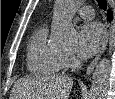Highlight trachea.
I'll return each mask as SVG.
<instances>
[{
    "instance_id": "obj_1",
    "label": "trachea",
    "mask_w": 115,
    "mask_h": 99,
    "mask_svg": "<svg viewBox=\"0 0 115 99\" xmlns=\"http://www.w3.org/2000/svg\"><path fill=\"white\" fill-rule=\"evenodd\" d=\"M98 5L101 9L106 10L107 8V1L106 0H97Z\"/></svg>"
}]
</instances>
